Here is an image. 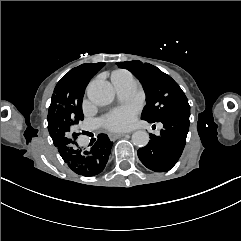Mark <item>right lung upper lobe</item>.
Segmentation results:
<instances>
[{"label": "right lung upper lobe", "mask_w": 241, "mask_h": 241, "mask_svg": "<svg viewBox=\"0 0 241 241\" xmlns=\"http://www.w3.org/2000/svg\"><path fill=\"white\" fill-rule=\"evenodd\" d=\"M49 130V129H48ZM49 133H50V136H51V138H52V140H53V143H54V145L55 146H58L59 145V138L52 132V131H50L49 130Z\"/></svg>", "instance_id": "cb5924a9"}]
</instances>
